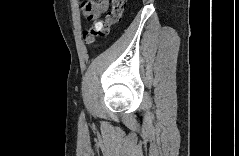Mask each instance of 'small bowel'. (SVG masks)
Wrapping results in <instances>:
<instances>
[{
  "label": "small bowel",
  "instance_id": "obj_1",
  "mask_svg": "<svg viewBox=\"0 0 239 156\" xmlns=\"http://www.w3.org/2000/svg\"><path fill=\"white\" fill-rule=\"evenodd\" d=\"M108 7V0H89L81 3L83 16L88 21H93L100 18L106 12Z\"/></svg>",
  "mask_w": 239,
  "mask_h": 156
}]
</instances>
